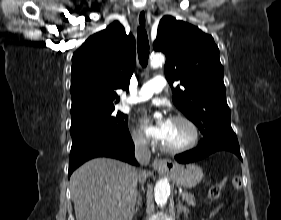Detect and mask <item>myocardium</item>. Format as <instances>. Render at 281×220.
Returning a JSON list of instances; mask_svg holds the SVG:
<instances>
[{
    "instance_id": "1",
    "label": "myocardium",
    "mask_w": 281,
    "mask_h": 220,
    "mask_svg": "<svg viewBox=\"0 0 281 220\" xmlns=\"http://www.w3.org/2000/svg\"><path fill=\"white\" fill-rule=\"evenodd\" d=\"M171 120L185 123L191 130V138L188 143H186L182 146H179V147H174V148L167 147L162 143L161 149L164 152H167L170 154H178V153H183V152H186V151L194 148L199 141V129H198V126L196 125V123L192 119H190L189 117L184 116V115L173 116Z\"/></svg>"
}]
</instances>
